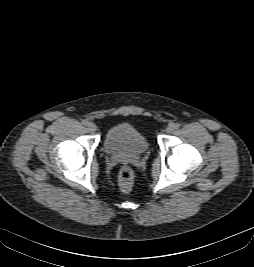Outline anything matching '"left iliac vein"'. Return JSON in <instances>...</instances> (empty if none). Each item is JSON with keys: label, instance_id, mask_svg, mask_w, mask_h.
Wrapping results in <instances>:
<instances>
[{"label": "left iliac vein", "instance_id": "4c4485c4", "mask_svg": "<svg viewBox=\"0 0 254 267\" xmlns=\"http://www.w3.org/2000/svg\"><path fill=\"white\" fill-rule=\"evenodd\" d=\"M175 129H176V128H175V125H174V124H170V125H168L167 128H166V133L170 134V133H172Z\"/></svg>", "mask_w": 254, "mask_h": 267}]
</instances>
